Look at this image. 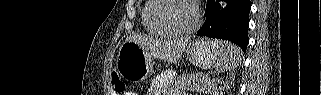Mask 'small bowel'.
Instances as JSON below:
<instances>
[{"mask_svg": "<svg viewBox=\"0 0 321 95\" xmlns=\"http://www.w3.org/2000/svg\"><path fill=\"white\" fill-rule=\"evenodd\" d=\"M168 93H160V92H157L155 93V95H167ZM125 95H133L131 92H126Z\"/></svg>", "mask_w": 321, "mask_h": 95, "instance_id": "obj_1", "label": "small bowel"}]
</instances>
